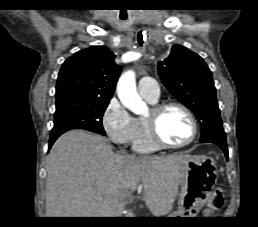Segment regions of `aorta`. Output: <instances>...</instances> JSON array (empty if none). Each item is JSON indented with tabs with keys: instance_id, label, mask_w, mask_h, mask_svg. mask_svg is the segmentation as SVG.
Here are the masks:
<instances>
[{
	"instance_id": "762f6f07",
	"label": "aorta",
	"mask_w": 258,
	"mask_h": 227,
	"mask_svg": "<svg viewBox=\"0 0 258 227\" xmlns=\"http://www.w3.org/2000/svg\"><path fill=\"white\" fill-rule=\"evenodd\" d=\"M117 94L121 103L134 114L141 115L146 109V103L142 101L136 89V77L132 70L121 75L117 83Z\"/></svg>"
}]
</instances>
